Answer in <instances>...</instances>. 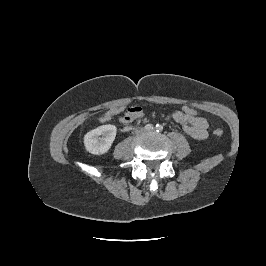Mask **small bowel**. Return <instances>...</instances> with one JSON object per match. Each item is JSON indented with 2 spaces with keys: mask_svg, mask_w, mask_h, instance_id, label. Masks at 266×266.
I'll return each mask as SVG.
<instances>
[{
  "mask_svg": "<svg viewBox=\"0 0 266 266\" xmlns=\"http://www.w3.org/2000/svg\"><path fill=\"white\" fill-rule=\"evenodd\" d=\"M131 118L127 122H131L143 115V109L138 106L130 108ZM116 109H112L106 112L102 118V122L109 121L112 116L116 113ZM172 118L183 124V129L185 133L193 139L203 140L208 136V122L203 117H188L184 115L181 111H175L172 113Z\"/></svg>",
  "mask_w": 266,
  "mask_h": 266,
  "instance_id": "c3829d8e",
  "label": "small bowel"
}]
</instances>
